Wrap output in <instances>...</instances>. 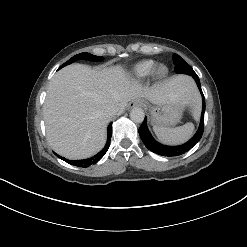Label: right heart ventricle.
I'll return each instance as SVG.
<instances>
[{
  "label": "right heart ventricle",
  "mask_w": 247,
  "mask_h": 247,
  "mask_svg": "<svg viewBox=\"0 0 247 247\" xmlns=\"http://www.w3.org/2000/svg\"><path fill=\"white\" fill-rule=\"evenodd\" d=\"M156 66L157 62L155 60H142L133 66L131 76L137 80L146 79L154 72Z\"/></svg>",
  "instance_id": "e07e8e85"
}]
</instances>
